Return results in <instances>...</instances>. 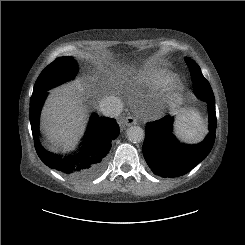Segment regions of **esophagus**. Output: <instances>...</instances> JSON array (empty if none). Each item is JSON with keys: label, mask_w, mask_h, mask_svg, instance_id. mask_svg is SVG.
Here are the masks:
<instances>
[{"label": "esophagus", "mask_w": 245, "mask_h": 245, "mask_svg": "<svg viewBox=\"0 0 245 245\" xmlns=\"http://www.w3.org/2000/svg\"><path fill=\"white\" fill-rule=\"evenodd\" d=\"M123 122L126 126H132L137 124V119L133 116H127L123 119Z\"/></svg>", "instance_id": "34e87169"}]
</instances>
